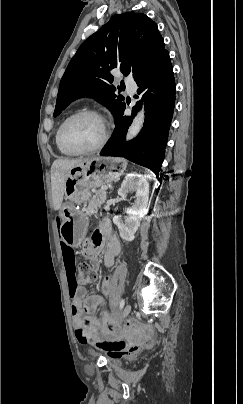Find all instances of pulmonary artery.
<instances>
[{
  "label": "pulmonary artery",
  "instance_id": "1",
  "mask_svg": "<svg viewBox=\"0 0 243 404\" xmlns=\"http://www.w3.org/2000/svg\"><path fill=\"white\" fill-rule=\"evenodd\" d=\"M137 89V85L135 83L126 84V90L129 94H134Z\"/></svg>",
  "mask_w": 243,
  "mask_h": 404
}]
</instances>
